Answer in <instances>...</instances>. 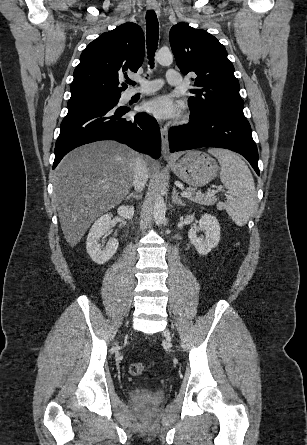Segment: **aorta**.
Wrapping results in <instances>:
<instances>
[{
  "instance_id": "aorta-1",
  "label": "aorta",
  "mask_w": 307,
  "mask_h": 445,
  "mask_svg": "<svg viewBox=\"0 0 307 445\" xmlns=\"http://www.w3.org/2000/svg\"><path fill=\"white\" fill-rule=\"evenodd\" d=\"M155 58L159 64L163 66H170L173 62V54L169 48H160L155 54ZM153 218L157 225H162L166 218V202L163 196H157L154 202Z\"/></svg>"
}]
</instances>
